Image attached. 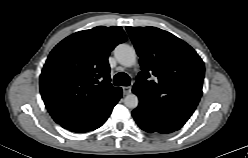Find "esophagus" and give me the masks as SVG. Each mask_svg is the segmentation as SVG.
Wrapping results in <instances>:
<instances>
[{"label": "esophagus", "mask_w": 248, "mask_h": 158, "mask_svg": "<svg viewBox=\"0 0 248 158\" xmlns=\"http://www.w3.org/2000/svg\"><path fill=\"white\" fill-rule=\"evenodd\" d=\"M122 90H123L124 95H128L131 93V87L130 86H125L122 88Z\"/></svg>", "instance_id": "esophagus-1"}]
</instances>
